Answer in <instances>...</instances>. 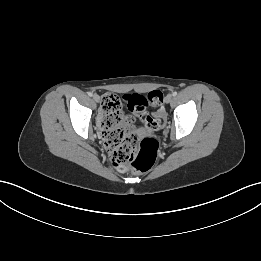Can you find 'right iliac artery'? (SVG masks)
I'll list each match as a JSON object with an SVG mask.
<instances>
[{"instance_id": "1", "label": "right iliac artery", "mask_w": 261, "mask_h": 261, "mask_svg": "<svg viewBox=\"0 0 261 261\" xmlns=\"http://www.w3.org/2000/svg\"><path fill=\"white\" fill-rule=\"evenodd\" d=\"M88 95L91 97V96H93V93L92 92H88Z\"/></svg>"}]
</instances>
